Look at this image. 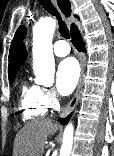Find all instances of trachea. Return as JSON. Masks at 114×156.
I'll use <instances>...</instances> for the list:
<instances>
[{"instance_id":"trachea-1","label":"trachea","mask_w":114,"mask_h":156,"mask_svg":"<svg viewBox=\"0 0 114 156\" xmlns=\"http://www.w3.org/2000/svg\"><path fill=\"white\" fill-rule=\"evenodd\" d=\"M39 3L42 5V7L51 15L55 16L58 20V25H59V32L60 34L66 38L69 39L70 38V34H69V30L67 28V26L65 25V23L62 21L58 11L56 10V8L53 6L51 0H38Z\"/></svg>"}]
</instances>
